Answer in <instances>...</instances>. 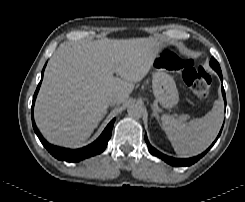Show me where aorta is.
<instances>
[{"label":"aorta","mask_w":245,"mask_h":202,"mask_svg":"<svg viewBox=\"0 0 245 202\" xmlns=\"http://www.w3.org/2000/svg\"><path fill=\"white\" fill-rule=\"evenodd\" d=\"M143 107L140 104L132 103L127 108V113L130 117L139 119L143 116Z\"/></svg>","instance_id":"1"}]
</instances>
